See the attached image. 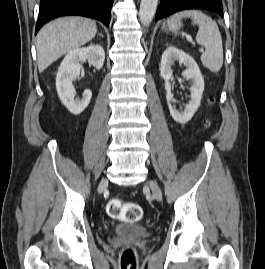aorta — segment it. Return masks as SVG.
<instances>
[{
    "instance_id": "1",
    "label": "aorta",
    "mask_w": 265,
    "mask_h": 269,
    "mask_svg": "<svg viewBox=\"0 0 265 269\" xmlns=\"http://www.w3.org/2000/svg\"><path fill=\"white\" fill-rule=\"evenodd\" d=\"M158 0H141L139 19L143 26H148L152 21L156 10H157Z\"/></svg>"
}]
</instances>
